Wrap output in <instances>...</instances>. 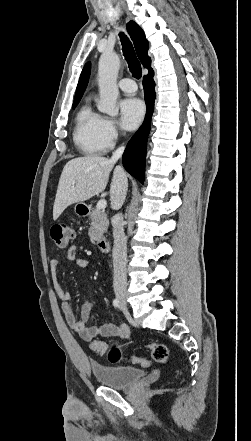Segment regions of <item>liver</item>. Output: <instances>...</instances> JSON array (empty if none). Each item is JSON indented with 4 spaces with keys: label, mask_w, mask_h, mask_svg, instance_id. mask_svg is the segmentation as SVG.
<instances>
[{
    "label": "liver",
    "mask_w": 251,
    "mask_h": 441,
    "mask_svg": "<svg viewBox=\"0 0 251 441\" xmlns=\"http://www.w3.org/2000/svg\"><path fill=\"white\" fill-rule=\"evenodd\" d=\"M114 165L115 162L98 155H87L68 161L59 179L53 206V220H57L71 204L86 201L103 192ZM127 186V176L124 169L121 166H116L110 185L112 208H118L122 205Z\"/></svg>",
    "instance_id": "1"
}]
</instances>
